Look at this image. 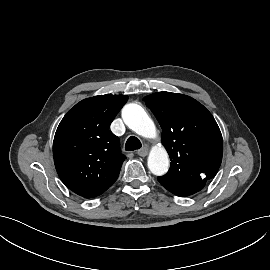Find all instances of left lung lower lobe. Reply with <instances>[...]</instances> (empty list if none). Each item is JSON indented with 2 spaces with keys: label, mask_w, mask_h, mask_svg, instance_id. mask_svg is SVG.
<instances>
[{
  "label": "left lung lower lobe",
  "mask_w": 270,
  "mask_h": 270,
  "mask_svg": "<svg viewBox=\"0 0 270 270\" xmlns=\"http://www.w3.org/2000/svg\"><path fill=\"white\" fill-rule=\"evenodd\" d=\"M192 194H194V193H189V194H175V195L184 197V196H189V195H192Z\"/></svg>",
  "instance_id": "left-lung-lower-lobe-1"
}]
</instances>
